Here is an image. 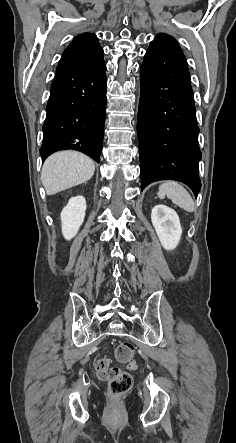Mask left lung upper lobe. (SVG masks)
I'll list each match as a JSON object with an SVG mask.
<instances>
[{
  "mask_svg": "<svg viewBox=\"0 0 236 443\" xmlns=\"http://www.w3.org/2000/svg\"><path fill=\"white\" fill-rule=\"evenodd\" d=\"M150 47H157L168 49L176 52L183 53L178 42L172 37L164 33H159L155 40L151 42Z\"/></svg>",
  "mask_w": 236,
  "mask_h": 443,
  "instance_id": "1",
  "label": "left lung upper lobe"
}]
</instances>
